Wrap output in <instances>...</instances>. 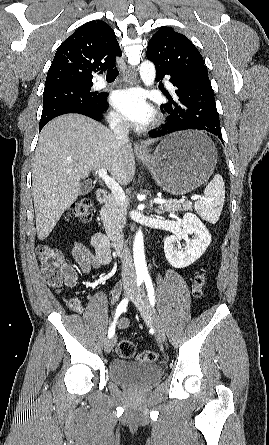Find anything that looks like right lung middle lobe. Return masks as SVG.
Instances as JSON below:
<instances>
[{
	"instance_id": "dd1d6c3e",
	"label": "right lung middle lobe",
	"mask_w": 269,
	"mask_h": 445,
	"mask_svg": "<svg viewBox=\"0 0 269 445\" xmlns=\"http://www.w3.org/2000/svg\"><path fill=\"white\" fill-rule=\"evenodd\" d=\"M92 85H67L45 89L39 128H43L47 122L59 115L97 108L103 95L90 92Z\"/></svg>"
}]
</instances>
